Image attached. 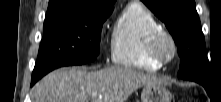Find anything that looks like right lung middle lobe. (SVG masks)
<instances>
[{
  "instance_id": "dd1d6c3e",
  "label": "right lung middle lobe",
  "mask_w": 221,
  "mask_h": 102,
  "mask_svg": "<svg viewBox=\"0 0 221 102\" xmlns=\"http://www.w3.org/2000/svg\"><path fill=\"white\" fill-rule=\"evenodd\" d=\"M113 9L47 12L32 77L40 79L55 68L95 60L99 54L102 25Z\"/></svg>"
}]
</instances>
